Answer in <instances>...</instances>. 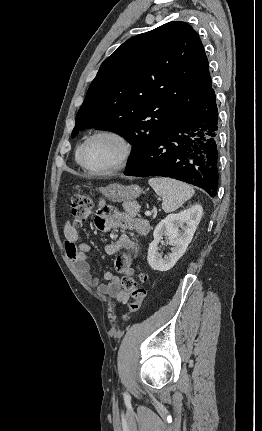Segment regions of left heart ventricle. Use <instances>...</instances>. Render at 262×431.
I'll return each mask as SVG.
<instances>
[{
    "label": "left heart ventricle",
    "mask_w": 262,
    "mask_h": 431,
    "mask_svg": "<svg viewBox=\"0 0 262 431\" xmlns=\"http://www.w3.org/2000/svg\"><path fill=\"white\" fill-rule=\"evenodd\" d=\"M122 153L120 143L111 137H99L87 146L84 161L92 170L102 171L114 167Z\"/></svg>",
    "instance_id": "obj_1"
}]
</instances>
